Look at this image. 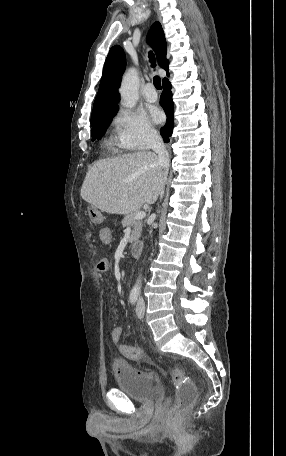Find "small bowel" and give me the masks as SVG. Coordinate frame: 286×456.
<instances>
[{
  "label": "small bowel",
  "instance_id": "1",
  "mask_svg": "<svg viewBox=\"0 0 286 456\" xmlns=\"http://www.w3.org/2000/svg\"><path fill=\"white\" fill-rule=\"evenodd\" d=\"M101 240L109 244L111 242V233L108 228H103L100 230ZM112 267V260L109 258H103L97 263V271L100 274H108ZM122 337V328L120 326L115 327L111 332V339L114 343H118ZM125 345H119V352L123 355V347Z\"/></svg>",
  "mask_w": 286,
  "mask_h": 456
}]
</instances>
